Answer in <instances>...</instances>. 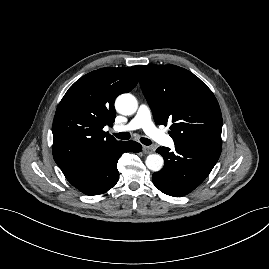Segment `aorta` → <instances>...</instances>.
I'll list each match as a JSON object with an SVG mask.
<instances>
[{"label": "aorta", "mask_w": 269, "mask_h": 269, "mask_svg": "<svg viewBox=\"0 0 269 269\" xmlns=\"http://www.w3.org/2000/svg\"><path fill=\"white\" fill-rule=\"evenodd\" d=\"M115 107L118 113L122 115H132L138 108L136 98L131 94H121L115 101ZM145 164L153 172H158L164 165L163 157L159 154H150L147 156Z\"/></svg>", "instance_id": "aorta-1"}]
</instances>
